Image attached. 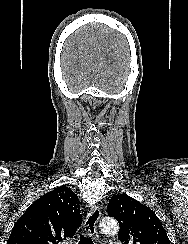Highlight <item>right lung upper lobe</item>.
Segmentation results:
<instances>
[{"instance_id": "right-lung-upper-lobe-1", "label": "right lung upper lobe", "mask_w": 188, "mask_h": 244, "mask_svg": "<svg viewBox=\"0 0 188 244\" xmlns=\"http://www.w3.org/2000/svg\"><path fill=\"white\" fill-rule=\"evenodd\" d=\"M80 201L66 186L37 199L18 219L7 244H58L74 236L82 224Z\"/></svg>"}]
</instances>
